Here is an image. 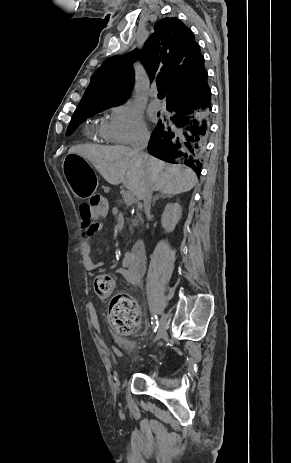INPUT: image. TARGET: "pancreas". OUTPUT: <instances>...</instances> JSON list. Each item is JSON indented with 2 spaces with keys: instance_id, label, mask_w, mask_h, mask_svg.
<instances>
[{
  "instance_id": "obj_1",
  "label": "pancreas",
  "mask_w": 291,
  "mask_h": 463,
  "mask_svg": "<svg viewBox=\"0 0 291 463\" xmlns=\"http://www.w3.org/2000/svg\"><path fill=\"white\" fill-rule=\"evenodd\" d=\"M137 217H138L139 220L142 219V218H141V215H140L139 213L137 214Z\"/></svg>"
}]
</instances>
